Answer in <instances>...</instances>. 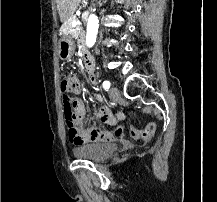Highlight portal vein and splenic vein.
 Here are the masks:
<instances>
[{
	"instance_id": "1",
	"label": "portal vein and splenic vein",
	"mask_w": 217,
	"mask_h": 202,
	"mask_svg": "<svg viewBox=\"0 0 217 202\" xmlns=\"http://www.w3.org/2000/svg\"><path fill=\"white\" fill-rule=\"evenodd\" d=\"M76 14H79L80 16V12H76ZM73 28L74 26H81V22H79V20H73V22H71Z\"/></svg>"
}]
</instances>
